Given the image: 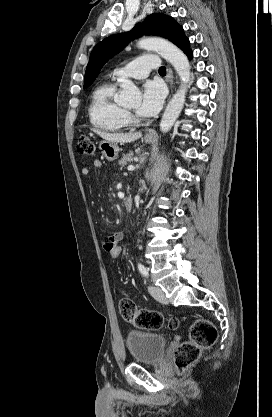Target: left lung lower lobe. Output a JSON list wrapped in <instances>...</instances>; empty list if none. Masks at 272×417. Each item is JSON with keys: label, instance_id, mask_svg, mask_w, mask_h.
Returning <instances> with one entry per match:
<instances>
[{"label": "left lung lower lobe", "instance_id": "0a47b994", "mask_svg": "<svg viewBox=\"0 0 272 417\" xmlns=\"http://www.w3.org/2000/svg\"><path fill=\"white\" fill-rule=\"evenodd\" d=\"M184 53L188 56L189 59L192 58V51L190 49L185 51Z\"/></svg>", "mask_w": 272, "mask_h": 417}]
</instances>
